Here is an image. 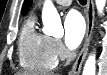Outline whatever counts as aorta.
<instances>
[{
    "mask_svg": "<svg viewBox=\"0 0 107 75\" xmlns=\"http://www.w3.org/2000/svg\"><path fill=\"white\" fill-rule=\"evenodd\" d=\"M106 0H96V7L99 14L103 13ZM43 31L45 34L55 37L62 36L64 33L60 16L50 0L44 3L42 11ZM96 74V57L92 54L88 57L82 75Z\"/></svg>",
    "mask_w": 107,
    "mask_h": 75,
    "instance_id": "aorta-1",
    "label": "aorta"
}]
</instances>
